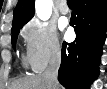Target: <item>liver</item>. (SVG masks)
<instances>
[{"instance_id":"6515ba94","label":"liver","mask_w":107,"mask_h":89,"mask_svg":"<svg viewBox=\"0 0 107 89\" xmlns=\"http://www.w3.org/2000/svg\"><path fill=\"white\" fill-rule=\"evenodd\" d=\"M9 89H51L48 80L43 74L24 77L15 80ZM60 89V85H58Z\"/></svg>"}]
</instances>
